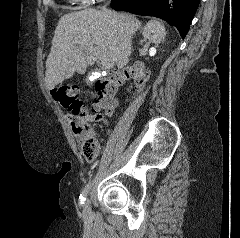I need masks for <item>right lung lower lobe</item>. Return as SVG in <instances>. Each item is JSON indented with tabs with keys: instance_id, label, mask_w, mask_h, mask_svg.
I'll list each match as a JSON object with an SVG mask.
<instances>
[{
	"instance_id": "right-lung-lower-lobe-1",
	"label": "right lung lower lobe",
	"mask_w": 240,
	"mask_h": 238,
	"mask_svg": "<svg viewBox=\"0 0 240 238\" xmlns=\"http://www.w3.org/2000/svg\"><path fill=\"white\" fill-rule=\"evenodd\" d=\"M200 0H112L114 10L155 16L173 24L184 38Z\"/></svg>"
}]
</instances>
